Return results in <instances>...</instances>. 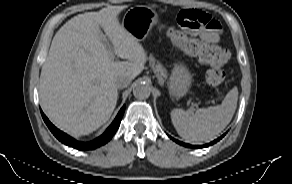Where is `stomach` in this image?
I'll return each mask as SVG.
<instances>
[{
  "label": "stomach",
  "instance_id": "1",
  "mask_svg": "<svg viewBox=\"0 0 292 184\" xmlns=\"http://www.w3.org/2000/svg\"><path fill=\"white\" fill-rule=\"evenodd\" d=\"M158 22L157 13L147 6L130 8L124 15L122 26L138 41L145 39L151 28ZM192 75L181 63L174 65L168 86L175 97L183 96L191 84Z\"/></svg>",
  "mask_w": 292,
  "mask_h": 184
}]
</instances>
